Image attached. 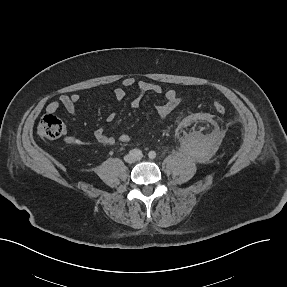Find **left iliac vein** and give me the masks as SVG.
I'll return each mask as SVG.
<instances>
[{
	"label": "left iliac vein",
	"instance_id": "obj_1",
	"mask_svg": "<svg viewBox=\"0 0 287 287\" xmlns=\"http://www.w3.org/2000/svg\"><path fill=\"white\" fill-rule=\"evenodd\" d=\"M141 158H142V156H138V157H137V160H140Z\"/></svg>",
	"mask_w": 287,
	"mask_h": 287
}]
</instances>
